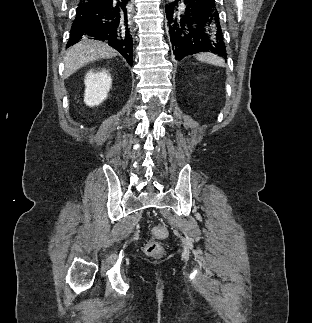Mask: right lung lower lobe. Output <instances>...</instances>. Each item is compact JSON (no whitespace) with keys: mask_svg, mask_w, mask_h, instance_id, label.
Listing matches in <instances>:
<instances>
[{"mask_svg":"<svg viewBox=\"0 0 312 323\" xmlns=\"http://www.w3.org/2000/svg\"><path fill=\"white\" fill-rule=\"evenodd\" d=\"M131 0H80L67 47L82 36L107 42L133 64Z\"/></svg>","mask_w":312,"mask_h":323,"instance_id":"right-lung-lower-lobe-1","label":"right lung lower lobe"}]
</instances>
